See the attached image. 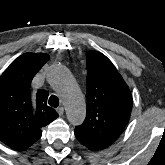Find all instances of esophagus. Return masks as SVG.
Returning <instances> with one entry per match:
<instances>
[{"label": "esophagus", "mask_w": 165, "mask_h": 165, "mask_svg": "<svg viewBox=\"0 0 165 165\" xmlns=\"http://www.w3.org/2000/svg\"><path fill=\"white\" fill-rule=\"evenodd\" d=\"M57 112H58V114H59L60 116H62L63 113H64V108H63V107L57 108Z\"/></svg>", "instance_id": "34e87169"}]
</instances>
